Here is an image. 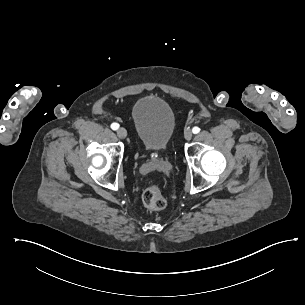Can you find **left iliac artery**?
I'll list each match as a JSON object with an SVG mask.
<instances>
[{
	"mask_svg": "<svg viewBox=\"0 0 305 305\" xmlns=\"http://www.w3.org/2000/svg\"><path fill=\"white\" fill-rule=\"evenodd\" d=\"M199 131H200V128H199V127H194V128L192 129V132H193L194 134L199 133Z\"/></svg>",
	"mask_w": 305,
	"mask_h": 305,
	"instance_id": "1",
	"label": "left iliac artery"
}]
</instances>
